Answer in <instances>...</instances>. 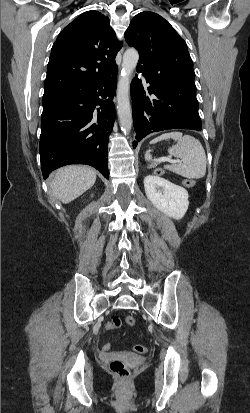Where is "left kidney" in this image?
<instances>
[{
  "label": "left kidney",
  "instance_id": "1",
  "mask_svg": "<svg viewBox=\"0 0 250 413\" xmlns=\"http://www.w3.org/2000/svg\"><path fill=\"white\" fill-rule=\"evenodd\" d=\"M144 188L147 198L159 211L175 220L184 217L189 206L185 188L157 175L146 176Z\"/></svg>",
  "mask_w": 250,
  "mask_h": 413
}]
</instances>
